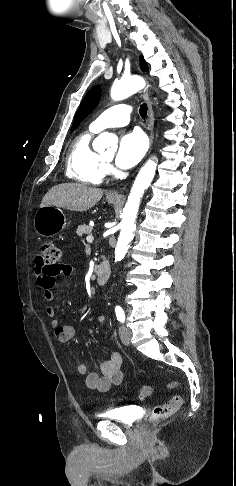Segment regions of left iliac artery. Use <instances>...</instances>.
<instances>
[{
	"mask_svg": "<svg viewBox=\"0 0 236 486\" xmlns=\"http://www.w3.org/2000/svg\"><path fill=\"white\" fill-rule=\"evenodd\" d=\"M115 313H116L117 320L123 323L125 321V313L123 309L120 306H116Z\"/></svg>",
	"mask_w": 236,
	"mask_h": 486,
	"instance_id": "1",
	"label": "left iliac artery"
}]
</instances>
